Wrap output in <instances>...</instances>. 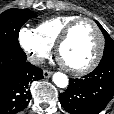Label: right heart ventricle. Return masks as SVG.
I'll use <instances>...</instances> for the list:
<instances>
[{
  "label": "right heart ventricle",
  "mask_w": 114,
  "mask_h": 114,
  "mask_svg": "<svg viewBox=\"0 0 114 114\" xmlns=\"http://www.w3.org/2000/svg\"><path fill=\"white\" fill-rule=\"evenodd\" d=\"M77 18L79 16L76 15L56 16L40 22L34 31L43 42L52 47L66 26Z\"/></svg>",
  "instance_id": "1"
}]
</instances>
